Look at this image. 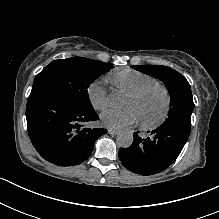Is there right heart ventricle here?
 I'll use <instances>...</instances> for the list:
<instances>
[{
  "instance_id": "e07e8e85",
  "label": "right heart ventricle",
  "mask_w": 219,
  "mask_h": 219,
  "mask_svg": "<svg viewBox=\"0 0 219 219\" xmlns=\"http://www.w3.org/2000/svg\"><path fill=\"white\" fill-rule=\"evenodd\" d=\"M110 82L117 89L129 93L144 85L157 83V80L141 71L126 68L112 74Z\"/></svg>"
}]
</instances>
